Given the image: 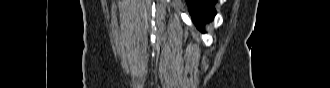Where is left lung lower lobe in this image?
I'll list each match as a JSON object with an SVG mask.
<instances>
[{
  "label": "left lung lower lobe",
  "instance_id": "0a47b994",
  "mask_svg": "<svg viewBox=\"0 0 330 88\" xmlns=\"http://www.w3.org/2000/svg\"><path fill=\"white\" fill-rule=\"evenodd\" d=\"M216 2L217 0H187L194 23L200 31L203 32V25L215 16Z\"/></svg>",
  "mask_w": 330,
  "mask_h": 88
}]
</instances>
